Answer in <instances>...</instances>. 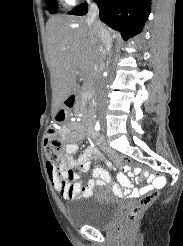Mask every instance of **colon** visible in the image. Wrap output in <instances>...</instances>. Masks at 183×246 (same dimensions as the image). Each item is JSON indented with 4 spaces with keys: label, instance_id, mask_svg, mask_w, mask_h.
I'll use <instances>...</instances> for the list:
<instances>
[{
    "label": "colon",
    "instance_id": "obj_1",
    "mask_svg": "<svg viewBox=\"0 0 183 246\" xmlns=\"http://www.w3.org/2000/svg\"><path fill=\"white\" fill-rule=\"evenodd\" d=\"M44 145L48 162L57 168L62 167L66 163V158L62 154L63 143L54 128H48L44 139ZM118 160L125 162L126 165H132V167L144 169L145 172H152L153 170L152 167H146L145 164L132 160V157H128V155H118ZM154 174H159V171L155 170ZM166 177V174H164V179H166ZM157 197V190L150 191L148 194L143 196L132 209L123 214L121 224L130 225L134 223L141 213L146 210L157 199Z\"/></svg>",
    "mask_w": 183,
    "mask_h": 246
}]
</instances>
